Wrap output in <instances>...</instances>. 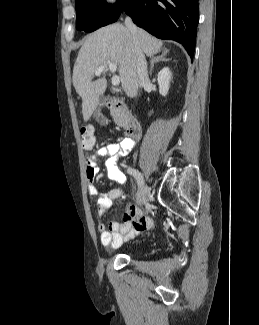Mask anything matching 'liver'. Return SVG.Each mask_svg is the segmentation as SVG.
<instances>
[{
	"label": "liver",
	"instance_id": "1",
	"mask_svg": "<svg viewBox=\"0 0 259 325\" xmlns=\"http://www.w3.org/2000/svg\"><path fill=\"white\" fill-rule=\"evenodd\" d=\"M140 47L147 56L160 52L162 41L146 31L138 29ZM134 41L127 27L114 23L102 27L87 36L73 68V85L82 98L83 119L87 122L99 105L107 81L100 78L92 81L95 71L107 62L118 65L122 88L128 97H135L138 92V79L134 67Z\"/></svg>",
	"mask_w": 259,
	"mask_h": 325
}]
</instances>
